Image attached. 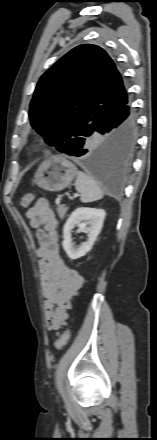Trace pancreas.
Segmentation results:
<instances>
[{
  "label": "pancreas",
  "instance_id": "cf45deb5",
  "mask_svg": "<svg viewBox=\"0 0 157 440\" xmlns=\"http://www.w3.org/2000/svg\"><path fill=\"white\" fill-rule=\"evenodd\" d=\"M56 210H57V213L59 215V218L63 219L65 217V215H66V212H67L68 208L65 207V205H58Z\"/></svg>",
  "mask_w": 157,
  "mask_h": 440
}]
</instances>
